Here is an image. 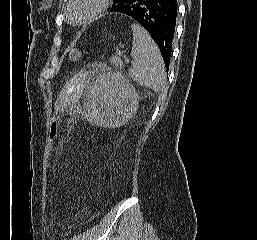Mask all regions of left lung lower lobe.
I'll list each match as a JSON object with an SVG mask.
<instances>
[{"label": "left lung lower lobe", "mask_w": 257, "mask_h": 240, "mask_svg": "<svg viewBox=\"0 0 257 240\" xmlns=\"http://www.w3.org/2000/svg\"><path fill=\"white\" fill-rule=\"evenodd\" d=\"M109 12L130 16L144 27L158 45L168 71L176 25L177 0H123Z\"/></svg>", "instance_id": "obj_1"}]
</instances>
